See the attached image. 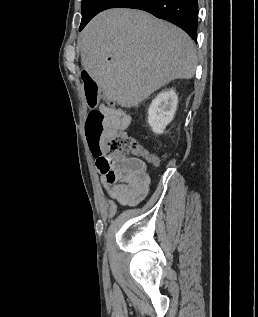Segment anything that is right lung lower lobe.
Returning a JSON list of instances; mask_svg holds the SVG:
<instances>
[{"mask_svg":"<svg viewBox=\"0 0 258 317\" xmlns=\"http://www.w3.org/2000/svg\"><path fill=\"white\" fill-rule=\"evenodd\" d=\"M198 0H88L82 7L80 31L99 12L116 7L147 11L183 29L195 42L198 25Z\"/></svg>","mask_w":258,"mask_h":317,"instance_id":"right-lung-lower-lobe-1","label":"right lung lower lobe"}]
</instances>
